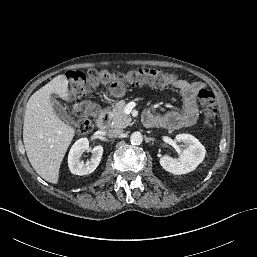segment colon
<instances>
[{
    "instance_id": "5ec220e1",
    "label": "colon",
    "mask_w": 257,
    "mask_h": 257,
    "mask_svg": "<svg viewBox=\"0 0 257 257\" xmlns=\"http://www.w3.org/2000/svg\"><path fill=\"white\" fill-rule=\"evenodd\" d=\"M69 80V94L74 101L73 111L79 118L76 131L86 134L92 130L99 117V107L90 101L80 100L86 94L93 92L100 84L149 85L163 88L174 84L178 78L171 72L152 68H139L127 73H113L107 70L71 71L67 73ZM200 105L204 116V124L211 128L216 118V102L213 92L202 88L198 92Z\"/></svg>"
}]
</instances>
